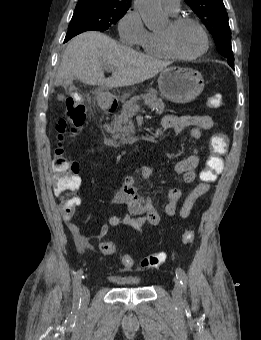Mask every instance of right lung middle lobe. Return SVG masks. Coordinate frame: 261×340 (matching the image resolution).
I'll return each instance as SVG.
<instances>
[{"mask_svg": "<svg viewBox=\"0 0 261 340\" xmlns=\"http://www.w3.org/2000/svg\"><path fill=\"white\" fill-rule=\"evenodd\" d=\"M129 7L116 5L77 4L68 30L86 29L103 32L124 16Z\"/></svg>", "mask_w": 261, "mask_h": 340, "instance_id": "right-lung-middle-lobe-1", "label": "right lung middle lobe"}]
</instances>
